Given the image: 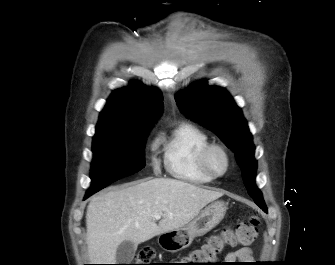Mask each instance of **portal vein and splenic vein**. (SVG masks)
<instances>
[{
	"instance_id": "1",
	"label": "portal vein and splenic vein",
	"mask_w": 335,
	"mask_h": 265,
	"mask_svg": "<svg viewBox=\"0 0 335 265\" xmlns=\"http://www.w3.org/2000/svg\"><path fill=\"white\" fill-rule=\"evenodd\" d=\"M161 217H162V214H159V213H156V214L154 215V218H155L156 220L161 219Z\"/></svg>"
}]
</instances>
